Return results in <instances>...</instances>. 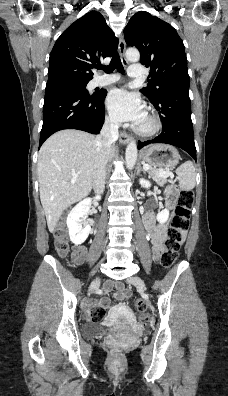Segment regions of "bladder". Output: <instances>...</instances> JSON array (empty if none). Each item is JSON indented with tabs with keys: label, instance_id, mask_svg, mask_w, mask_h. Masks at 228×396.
Wrapping results in <instances>:
<instances>
[{
	"label": "bladder",
	"instance_id": "31cf9c89",
	"mask_svg": "<svg viewBox=\"0 0 228 396\" xmlns=\"http://www.w3.org/2000/svg\"><path fill=\"white\" fill-rule=\"evenodd\" d=\"M111 329L108 327H99L95 323L85 326L84 328V336L88 339L91 338H98L104 336L108 333Z\"/></svg>",
	"mask_w": 228,
	"mask_h": 396
}]
</instances>
